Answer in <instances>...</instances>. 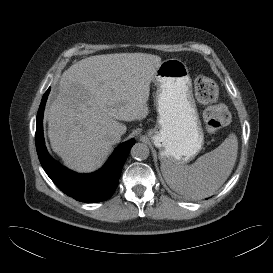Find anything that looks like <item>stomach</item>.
<instances>
[{"mask_svg": "<svg viewBox=\"0 0 273 273\" xmlns=\"http://www.w3.org/2000/svg\"><path fill=\"white\" fill-rule=\"evenodd\" d=\"M157 109L156 126L148 136L159 149L161 162L183 165L198 155L204 134L193 97L192 82L184 62L167 59L161 62L154 78Z\"/></svg>", "mask_w": 273, "mask_h": 273, "instance_id": "0dacf381", "label": "stomach"}]
</instances>
